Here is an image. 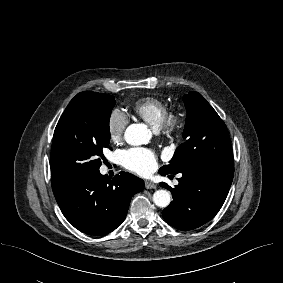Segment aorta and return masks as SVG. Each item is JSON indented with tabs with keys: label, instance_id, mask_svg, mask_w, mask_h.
Instances as JSON below:
<instances>
[{
	"label": "aorta",
	"instance_id": "obj_1",
	"mask_svg": "<svg viewBox=\"0 0 283 283\" xmlns=\"http://www.w3.org/2000/svg\"><path fill=\"white\" fill-rule=\"evenodd\" d=\"M124 137L128 144L138 146L145 144L150 139L151 133L146 125L135 123L127 127ZM153 202L156 206L165 208L171 202V195L167 190H157L153 194Z\"/></svg>",
	"mask_w": 283,
	"mask_h": 283
}]
</instances>
